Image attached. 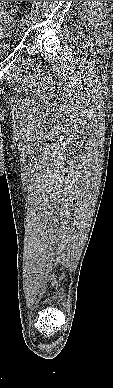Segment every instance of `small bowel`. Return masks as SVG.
Returning <instances> with one entry per match:
<instances>
[{
  "instance_id": "small-bowel-1",
  "label": "small bowel",
  "mask_w": 113,
  "mask_h": 388,
  "mask_svg": "<svg viewBox=\"0 0 113 388\" xmlns=\"http://www.w3.org/2000/svg\"><path fill=\"white\" fill-rule=\"evenodd\" d=\"M2 1H0L1 3ZM5 2L3 1V6L0 5V21L3 20V21H7L8 20V17L5 13Z\"/></svg>"
}]
</instances>
